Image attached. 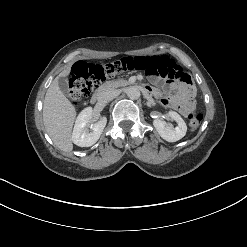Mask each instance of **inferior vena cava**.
<instances>
[{
	"mask_svg": "<svg viewBox=\"0 0 247 247\" xmlns=\"http://www.w3.org/2000/svg\"><path fill=\"white\" fill-rule=\"evenodd\" d=\"M117 95H118L117 90H112V89L105 90V91L100 93L98 99L100 102L107 103V102H110L111 100H113Z\"/></svg>",
	"mask_w": 247,
	"mask_h": 247,
	"instance_id": "1",
	"label": "inferior vena cava"
}]
</instances>
